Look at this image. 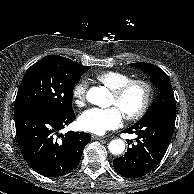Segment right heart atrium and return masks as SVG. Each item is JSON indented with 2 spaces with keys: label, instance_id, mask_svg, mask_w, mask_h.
<instances>
[{
  "label": "right heart atrium",
  "instance_id": "d8ad5b80",
  "mask_svg": "<svg viewBox=\"0 0 194 194\" xmlns=\"http://www.w3.org/2000/svg\"><path fill=\"white\" fill-rule=\"evenodd\" d=\"M89 82L87 79L78 80L72 88V98L78 106H82L86 101Z\"/></svg>",
  "mask_w": 194,
  "mask_h": 194
}]
</instances>
